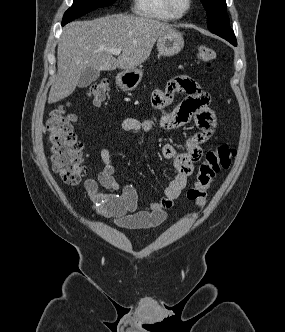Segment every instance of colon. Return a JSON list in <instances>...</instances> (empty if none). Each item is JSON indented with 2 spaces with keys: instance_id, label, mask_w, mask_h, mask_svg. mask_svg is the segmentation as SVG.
Masks as SVG:
<instances>
[{
  "instance_id": "1",
  "label": "colon",
  "mask_w": 285,
  "mask_h": 332,
  "mask_svg": "<svg viewBox=\"0 0 285 332\" xmlns=\"http://www.w3.org/2000/svg\"><path fill=\"white\" fill-rule=\"evenodd\" d=\"M197 58L210 67L217 60V53L207 45H200L197 48ZM108 89L106 80L90 85L88 96L94 105L101 104ZM73 121L74 115L68 112L67 107L61 106L50 113L45 125L53 169L68 185L79 183L86 174L82 157L83 142L74 132ZM235 156L236 150L228 145H219L207 151L198 168L194 185L187 191L188 199L203 207L214 177L220 171L228 169Z\"/></svg>"
}]
</instances>
